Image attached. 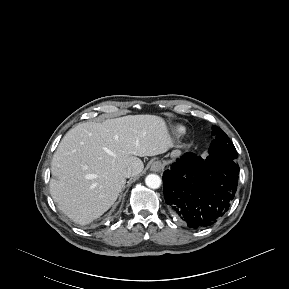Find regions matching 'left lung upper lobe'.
<instances>
[{"instance_id":"5c2ea615","label":"left lung upper lobe","mask_w":289,"mask_h":289,"mask_svg":"<svg viewBox=\"0 0 289 289\" xmlns=\"http://www.w3.org/2000/svg\"><path fill=\"white\" fill-rule=\"evenodd\" d=\"M212 134L215 138L209 147V156L218 162L235 160L237 152L228 136L217 126H213Z\"/></svg>"}]
</instances>
